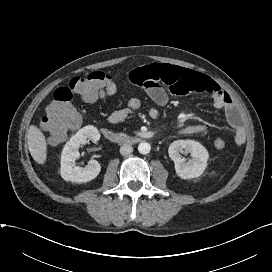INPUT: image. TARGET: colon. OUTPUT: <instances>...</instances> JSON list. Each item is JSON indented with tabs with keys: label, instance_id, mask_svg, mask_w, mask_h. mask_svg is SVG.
<instances>
[{
	"label": "colon",
	"instance_id": "5ec220e1",
	"mask_svg": "<svg viewBox=\"0 0 272 272\" xmlns=\"http://www.w3.org/2000/svg\"><path fill=\"white\" fill-rule=\"evenodd\" d=\"M116 92V84L112 78L103 72L94 71L85 76L73 78L67 87H60L53 93L51 101L46 107L43 118V128L52 144H58L67 133L80 123V116L73 105V95L78 94L83 100L93 102ZM125 107L136 111L142 105L137 97L124 100ZM216 149L226 147L225 140L217 138L213 141Z\"/></svg>",
	"mask_w": 272,
	"mask_h": 272
}]
</instances>
